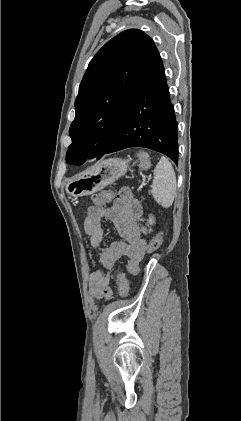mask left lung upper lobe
I'll list each match as a JSON object with an SVG mask.
<instances>
[{
  "mask_svg": "<svg viewBox=\"0 0 241 421\" xmlns=\"http://www.w3.org/2000/svg\"><path fill=\"white\" fill-rule=\"evenodd\" d=\"M155 49L144 32L129 29L108 41L93 57L79 86L76 116L66 162L101 158L116 139L124 116Z\"/></svg>",
  "mask_w": 241,
  "mask_h": 421,
  "instance_id": "left-lung-upper-lobe-1",
  "label": "left lung upper lobe"
}]
</instances>
